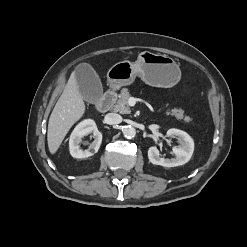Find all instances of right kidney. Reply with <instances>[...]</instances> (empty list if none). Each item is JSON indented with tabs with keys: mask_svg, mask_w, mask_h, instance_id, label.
<instances>
[{
	"mask_svg": "<svg viewBox=\"0 0 247 247\" xmlns=\"http://www.w3.org/2000/svg\"><path fill=\"white\" fill-rule=\"evenodd\" d=\"M90 133L94 136V141L89 145L88 149H80V143L84 136L89 135ZM102 142V134L97 129L96 123L92 119H86L80 122L73 130L70 135L69 140V150L70 154L74 158H87L99 150V147Z\"/></svg>",
	"mask_w": 247,
	"mask_h": 247,
	"instance_id": "1",
	"label": "right kidney"
}]
</instances>
